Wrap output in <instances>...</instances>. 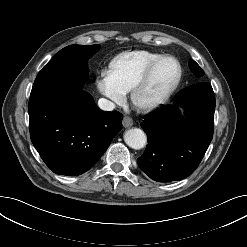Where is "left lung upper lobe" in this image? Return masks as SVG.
<instances>
[{
	"instance_id": "obj_1",
	"label": "left lung upper lobe",
	"mask_w": 247,
	"mask_h": 247,
	"mask_svg": "<svg viewBox=\"0 0 247 247\" xmlns=\"http://www.w3.org/2000/svg\"><path fill=\"white\" fill-rule=\"evenodd\" d=\"M189 65H190L191 70L194 72V74L197 77H201L204 75V71L199 67V65L195 61L191 60L189 62Z\"/></svg>"
}]
</instances>
